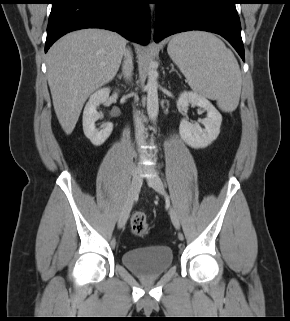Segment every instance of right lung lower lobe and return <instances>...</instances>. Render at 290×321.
Wrapping results in <instances>:
<instances>
[{
    "label": "right lung lower lobe",
    "mask_w": 290,
    "mask_h": 321,
    "mask_svg": "<svg viewBox=\"0 0 290 321\" xmlns=\"http://www.w3.org/2000/svg\"><path fill=\"white\" fill-rule=\"evenodd\" d=\"M149 3V0H52L45 52L64 34L84 28L108 29L147 45Z\"/></svg>",
    "instance_id": "obj_1"
}]
</instances>
